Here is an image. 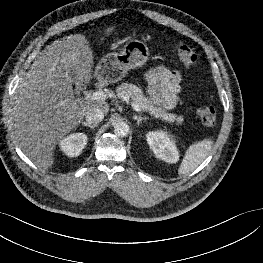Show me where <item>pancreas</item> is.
<instances>
[{
    "instance_id": "cf45deb5",
    "label": "pancreas",
    "mask_w": 263,
    "mask_h": 263,
    "mask_svg": "<svg viewBox=\"0 0 263 263\" xmlns=\"http://www.w3.org/2000/svg\"><path fill=\"white\" fill-rule=\"evenodd\" d=\"M116 95L119 99L128 100L131 98L134 100L144 112H148L151 116L156 119H161L169 123L176 122L177 125L183 123V117L175 114L168 113L166 110L157 107L153 102L147 98L142 89L131 83H122L116 89Z\"/></svg>"
}]
</instances>
